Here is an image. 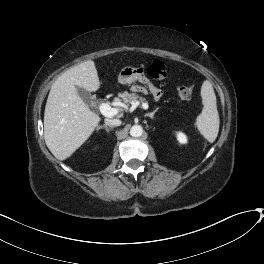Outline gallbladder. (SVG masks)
Here are the masks:
<instances>
[{"instance_id": "bac80fb5", "label": "gallbladder", "mask_w": 264, "mask_h": 264, "mask_svg": "<svg viewBox=\"0 0 264 264\" xmlns=\"http://www.w3.org/2000/svg\"><path fill=\"white\" fill-rule=\"evenodd\" d=\"M77 92L79 94V96L83 99V101L87 104V105H91L93 102V97L91 96V94L86 91L83 88L77 87Z\"/></svg>"}]
</instances>
